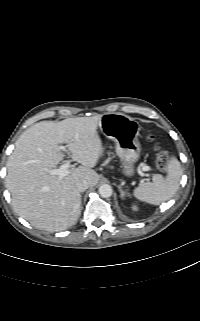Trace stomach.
Here are the masks:
<instances>
[{
	"instance_id": "0dacf381",
	"label": "stomach",
	"mask_w": 200,
	"mask_h": 321,
	"mask_svg": "<svg viewBox=\"0 0 200 321\" xmlns=\"http://www.w3.org/2000/svg\"><path fill=\"white\" fill-rule=\"evenodd\" d=\"M98 127L105 137L115 142L116 154L122 163V173L127 177L133 176L134 166L141 152L138 122L121 113H106L102 115Z\"/></svg>"
}]
</instances>
